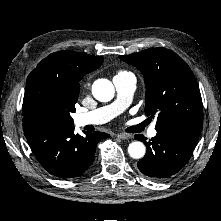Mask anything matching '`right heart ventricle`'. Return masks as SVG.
<instances>
[{
	"instance_id": "1",
	"label": "right heart ventricle",
	"mask_w": 221,
	"mask_h": 221,
	"mask_svg": "<svg viewBox=\"0 0 221 221\" xmlns=\"http://www.w3.org/2000/svg\"><path fill=\"white\" fill-rule=\"evenodd\" d=\"M128 72H125V71H119L116 76H121V75H125L127 74Z\"/></svg>"
}]
</instances>
